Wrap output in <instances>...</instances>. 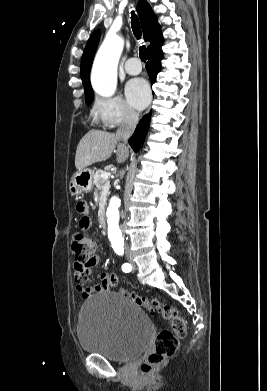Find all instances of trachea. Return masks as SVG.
I'll list each match as a JSON object with an SVG mask.
<instances>
[{
  "instance_id": "3493384b",
  "label": "trachea",
  "mask_w": 267,
  "mask_h": 391,
  "mask_svg": "<svg viewBox=\"0 0 267 391\" xmlns=\"http://www.w3.org/2000/svg\"><path fill=\"white\" fill-rule=\"evenodd\" d=\"M131 25L134 35L137 37V39H141V27L139 23V19L137 15L132 11L131 15ZM139 57L143 62H146L147 60V51L145 45H142L139 49Z\"/></svg>"
}]
</instances>
